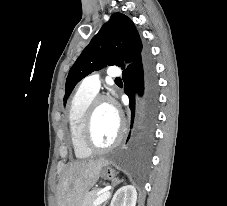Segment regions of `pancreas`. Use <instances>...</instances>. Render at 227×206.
<instances>
[{"label": "pancreas", "mask_w": 227, "mask_h": 206, "mask_svg": "<svg viewBox=\"0 0 227 206\" xmlns=\"http://www.w3.org/2000/svg\"><path fill=\"white\" fill-rule=\"evenodd\" d=\"M102 189H93L84 196L81 206H93V202L98 198V193Z\"/></svg>", "instance_id": "cf45deb5"}]
</instances>
